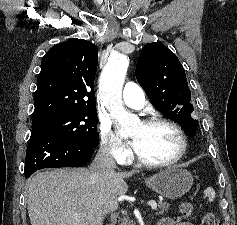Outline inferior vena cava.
Here are the masks:
<instances>
[{
    "mask_svg": "<svg viewBox=\"0 0 237 225\" xmlns=\"http://www.w3.org/2000/svg\"><path fill=\"white\" fill-rule=\"evenodd\" d=\"M113 146L111 144H103L92 162L91 169L95 175L110 176L115 174L116 163L112 156Z\"/></svg>",
    "mask_w": 237,
    "mask_h": 225,
    "instance_id": "602c4592",
    "label": "inferior vena cava"
}]
</instances>
